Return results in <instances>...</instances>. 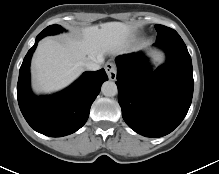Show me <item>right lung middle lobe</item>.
Segmentation results:
<instances>
[{
    "mask_svg": "<svg viewBox=\"0 0 219 174\" xmlns=\"http://www.w3.org/2000/svg\"><path fill=\"white\" fill-rule=\"evenodd\" d=\"M62 31V28L60 25L54 24L46 27L39 35L38 37L42 38L47 35H53L57 34Z\"/></svg>",
    "mask_w": 219,
    "mask_h": 174,
    "instance_id": "1",
    "label": "right lung middle lobe"
}]
</instances>
